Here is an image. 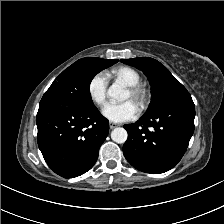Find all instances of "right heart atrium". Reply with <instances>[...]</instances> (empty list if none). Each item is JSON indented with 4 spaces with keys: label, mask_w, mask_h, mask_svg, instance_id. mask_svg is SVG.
<instances>
[{
    "label": "right heart atrium",
    "mask_w": 224,
    "mask_h": 224,
    "mask_svg": "<svg viewBox=\"0 0 224 224\" xmlns=\"http://www.w3.org/2000/svg\"><path fill=\"white\" fill-rule=\"evenodd\" d=\"M108 79L102 72L96 73L88 83V95L91 101L101 107L106 103Z\"/></svg>",
    "instance_id": "obj_1"
}]
</instances>
